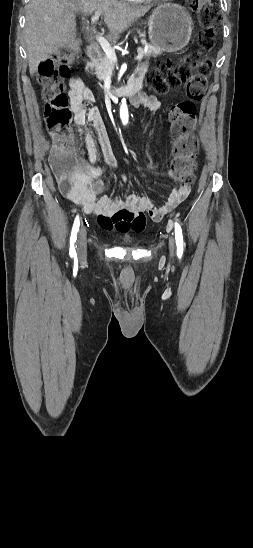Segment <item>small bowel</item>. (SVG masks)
<instances>
[{
	"instance_id": "1",
	"label": "small bowel",
	"mask_w": 253,
	"mask_h": 548,
	"mask_svg": "<svg viewBox=\"0 0 253 548\" xmlns=\"http://www.w3.org/2000/svg\"><path fill=\"white\" fill-rule=\"evenodd\" d=\"M145 71L146 65H140L132 78H142ZM69 86L74 122L80 129L88 157L87 160H78L75 171L66 185L59 182L60 190L67 199L81 206L86 213L96 214L103 229H115L123 233L142 232L146 224L145 212L154 221L162 220L169 211L188 197L190 185L180 182L171 191L167 200L159 206H156L149 197L135 193L129 194L125 199L101 195L105 187L102 179L104 170L94 165L98 159V146L108 167L116 168L117 161L99 109L86 107V102L94 101L92 92L78 77L71 78ZM131 102L136 106L142 105L150 111H157L161 106L155 96L142 92L132 97ZM170 177L174 181L177 180ZM120 179L124 183L127 182L125 174H121Z\"/></svg>"
}]
</instances>
